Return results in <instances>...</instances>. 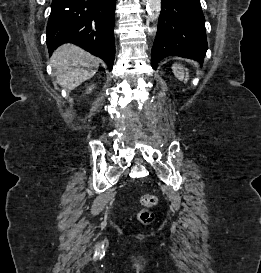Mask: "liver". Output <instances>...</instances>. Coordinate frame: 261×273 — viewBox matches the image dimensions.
<instances>
[{
  "label": "liver",
  "instance_id": "1",
  "mask_svg": "<svg viewBox=\"0 0 261 273\" xmlns=\"http://www.w3.org/2000/svg\"><path fill=\"white\" fill-rule=\"evenodd\" d=\"M50 63L57 70L58 83L68 91L93 77L99 67L96 57L70 44L59 47L53 53Z\"/></svg>",
  "mask_w": 261,
  "mask_h": 273
}]
</instances>
